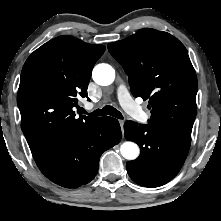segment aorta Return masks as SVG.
Masks as SVG:
<instances>
[{
    "label": "aorta",
    "instance_id": "1",
    "mask_svg": "<svg viewBox=\"0 0 221 221\" xmlns=\"http://www.w3.org/2000/svg\"><path fill=\"white\" fill-rule=\"evenodd\" d=\"M92 77L97 84L107 86L113 83L115 70L109 64H98L93 69ZM120 152L125 159L134 160L139 156V147L134 142L127 141L121 145Z\"/></svg>",
    "mask_w": 221,
    "mask_h": 221
}]
</instances>
